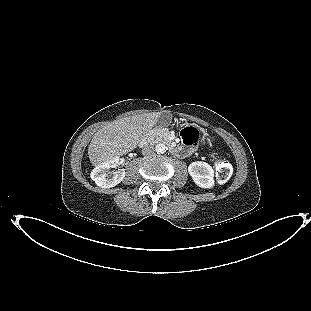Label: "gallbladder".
<instances>
[{
  "label": "gallbladder",
  "mask_w": 311,
  "mask_h": 311,
  "mask_svg": "<svg viewBox=\"0 0 311 311\" xmlns=\"http://www.w3.org/2000/svg\"><path fill=\"white\" fill-rule=\"evenodd\" d=\"M172 115L168 111H164L161 113L160 117L157 120V125L159 126H167L171 123Z\"/></svg>",
  "instance_id": "bac80fb5"
}]
</instances>
